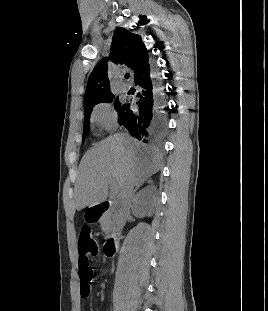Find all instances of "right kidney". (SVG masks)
<instances>
[{
    "label": "right kidney",
    "instance_id": "right-kidney-1",
    "mask_svg": "<svg viewBox=\"0 0 268 311\" xmlns=\"http://www.w3.org/2000/svg\"><path fill=\"white\" fill-rule=\"evenodd\" d=\"M157 200V187L154 185L147 186L136 195L133 204V214L137 217L151 216Z\"/></svg>",
    "mask_w": 268,
    "mask_h": 311
}]
</instances>
